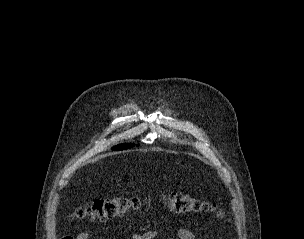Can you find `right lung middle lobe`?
I'll list each match as a JSON object with an SVG mask.
<instances>
[{
    "mask_svg": "<svg viewBox=\"0 0 304 239\" xmlns=\"http://www.w3.org/2000/svg\"><path fill=\"white\" fill-rule=\"evenodd\" d=\"M134 144H120L112 148V150H124L133 147Z\"/></svg>",
    "mask_w": 304,
    "mask_h": 239,
    "instance_id": "dd1d6c3e",
    "label": "right lung middle lobe"
}]
</instances>
